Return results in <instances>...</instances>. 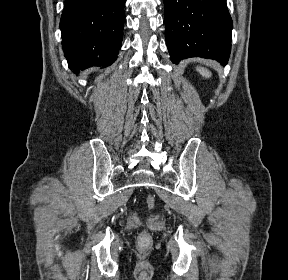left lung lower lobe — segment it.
Returning a JSON list of instances; mask_svg holds the SVG:
<instances>
[{
  "instance_id": "1",
  "label": "left lung lower lobe",
  "mask_w": 288,
  "mask_h": 280,
  "mask_svg": "<svg viewBox=\"0 0 288 280\" xmlns=\"http://www.w3.org/2000/svg\"><path fill=\"white\" fill-rule=\"evenodd\" d=\"M166 42L171 60L190 57L227 64L232 19L226 0H164Z\"/></svg>"
}]
</instances>
